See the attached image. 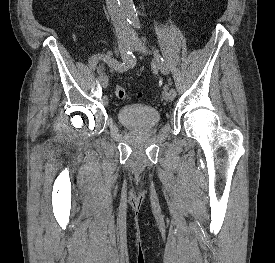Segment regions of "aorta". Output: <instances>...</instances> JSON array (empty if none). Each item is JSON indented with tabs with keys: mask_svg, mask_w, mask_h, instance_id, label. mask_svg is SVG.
<instances>
[{
	"mask_svg": "<svg viewBox=\"0 0 275 263\" xmlns=\"http://www.w3.org/2000/svg\"><path fill=\"white\" fill-rule=\"evenodd\" d=\"M119 5L129 24L138 26L139 19L133 0H119Z\"/></svg>",
	"mask_w": 275,
	"mask_h": 263,
	"instance_id": "aorta-1",
	"label": "aorta"
}]
</instances>
